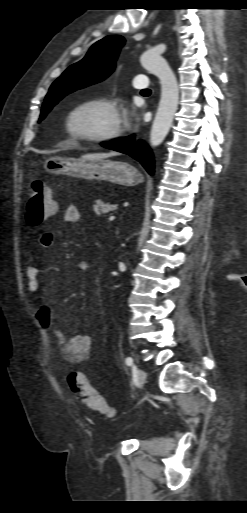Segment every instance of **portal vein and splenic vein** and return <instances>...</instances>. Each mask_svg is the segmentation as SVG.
Returning <instances> with one entry per match:
<instances>
[{"instance_id":"18ae733b","label":"portal vein and splenic vein","mask_w":247,"mask_h":513,"mask_svg":"<svg viewBox=\"0 0 247 513\" xmlns=\"http://www.w3.org/2000/svg\"><path fill=\"white\" fill-rule=\"evenodd\" d=\"M108 220H109V221H113V220H115V216H110V217L108 218Z\"/></svg>"}]
</instances>
